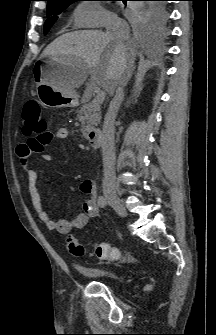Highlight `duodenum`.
<instances>
[{
    "instance_id": "1",
    "label": "duodenum",
    "mask_w": 216,
    "mask_h": 335,
    "mask_svg": "<svg viewBox=\"0 0 216 335\" xmlns=\"http://www.w3.org/2000/svg\"><path fill=\"white\" fill-rule=\"evenodd\" d=\"M87 139L93 148H100L102 144V133L97 128L91 129L87 134Z\"/></svg>"
}]
</instances>
